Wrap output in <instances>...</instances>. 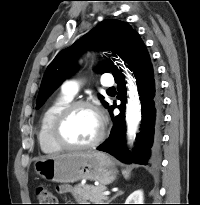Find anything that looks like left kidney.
<instances>
[{
  "mask_svg": "<svg viewBox=\"0 0 200 205\" xmlns=\"http://www.w3.org/2000/svg\"><path fill=\"white\" fill-rule=\"evenodd\" d=\"M144 196L142 190H136L128 196L125 204H143Z\"/></svg>",
  "mask_w": 200,
  "mask_h": 205,
  "instance_id": "1",
  "label": "left kidney"
}]
</instances>
